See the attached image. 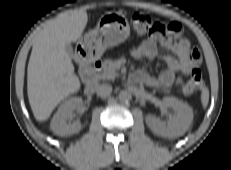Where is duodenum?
Listing matches in <instances>:
<instances>
[{"mask_svg": "<svg viewBox=\"0 0 231 170\" xmlns=\"http://www.w3.org/2000/svg\"><path fill=\"white\" fill-rule=\"evenodd\" d=\"M102 66L99 58L89 57L81 65V78L85 82L84 93L91 96L95 93L97 86L98 72Z\"/></svg>", "mask_w": 231, "mask_h": 170, "instance_id": "410a0bca", "label": "duodenum"}]
</instances>
